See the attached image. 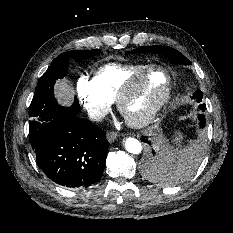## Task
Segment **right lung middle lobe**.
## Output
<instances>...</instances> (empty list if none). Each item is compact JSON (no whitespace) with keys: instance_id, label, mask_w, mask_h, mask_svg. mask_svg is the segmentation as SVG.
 Returning <instances> with one entry per match:
<instances>
[{"instance_id":"dd1d6c3e","label":"right lung middle lobe","mask_w":233,"mask_h":233,"mask_svg":"<svg viewBox=\"0 0 233 233\" xmlns=\"http://www.w3.org/2000/svg\"><path fill=\"white\" fill-rule=\"evenodd\" d=\"M100 50H77L60 54L48 68L37 85L33 100L30 105L29 140L33 149H36L42 141L49 122L64 110H80L78 100L75 99L71 107L58 105L54 98L53 87L57 79L63 78L68 70V61L72 57L76 60H84L98 54Z\"/></svg>"}]
</instances>
